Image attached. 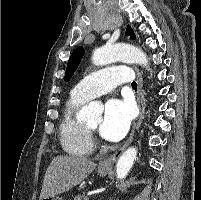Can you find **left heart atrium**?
I'll list each match as a JSON object with an SVG mask.
<instances>
[{
  "instance_id": "left-heart-atrium-1",
  "label": "left heart atrium",
  "mask_w": 201,
  "mask_h": 200,
  "mask_svg": "<svg viewBox=\"0 0 201 200\" xmlns=\"http://www.w3.org/2000/svg\"><path fill=\"white\" fill-rule=\"evenodd\" d=\"M131 120L132 110L129 103L119 99H111L105 105L99 133L108 141H119L127 134Z\"/></svg>"
}]
</instances>
